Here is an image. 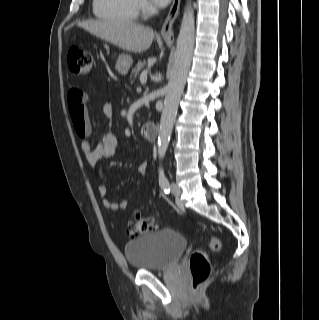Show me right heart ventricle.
<instances>
[{"label":"right heart ventricle","mask_w":319,"mask_h":320,"mask_svg":"<svg viewBox=\"0 0 319 320\" xmlns=\"http://www.w3.org/2000/svg\"><path fill=\"white\" fill-rule=\"evenodd\" d=\"M93 13L101 20L133 23L138 15L137 0H93Z\"/></svg>","instance_id":"right-heart-ventricle-1"}]
</instances>
